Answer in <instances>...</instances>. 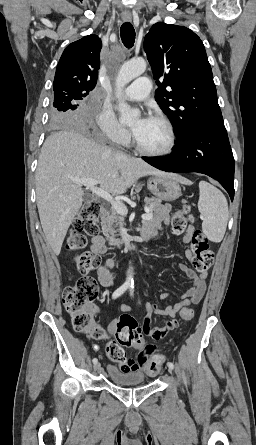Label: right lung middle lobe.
Wrapping results in <instances>:
<instances>
[{
	"mask_svg": "<svg viewBox=\"0 0 256 445\" xmlns=\"http://www.w3.org/2000/svg\"><path fill=\"white\" fill-rule=\"evenodd\" d=\"M85 97L72 91H62L54 94L53 107L50 111V119L54 124H65L74 119L73 110L77 108V101Z\"/></svg>",
	"mask_w": 256,
	"mask_h": 445,
	"instance_id": "1",
	"label": "right lung middle lobe"
}]
</instances>
